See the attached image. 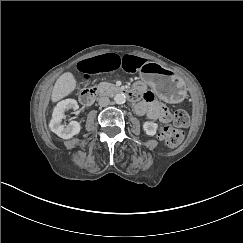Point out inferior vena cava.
<instances>
[{
    "label": "inferior vena cava",
    "instance_id": "inferior-vena-cava-1",
    "mask_svg": "<svg viewBox=\"0 0 243 243\" xmlns=\"http://www.w3.org/2000/svg\"><path fill=\"white\" fill-rule=\"evenodd\" d=\"M109 103H110V99L107 96H100L98 98V104L100 106H107V105H109Z\"/></svg>",
    "mask_w": 243,
    "mask_h": 243
}]
</instances>
